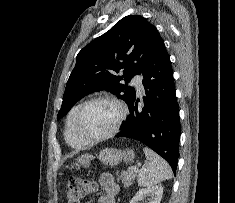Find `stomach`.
Wrapping results in <instances>:
<instances>
[{"label": "stomach", "instance_id": "1", "mask_svg": "<svg viewBox=\"0 0 235 203\" xmlns=\"http://www.w3.org/2000/svg\"><path fill=\"white\" fill-rule=\"evenodd\" d=\"M134 158V152L130 149L119 150L116 148H105L99 153V160L109 166L117 165L122 160L131 161ZM92 156L84 154L77 158L76 166L88 167L90 165Z\"/></svg>", "mask_w": 235, "mask_h": 203}]
</instances>
